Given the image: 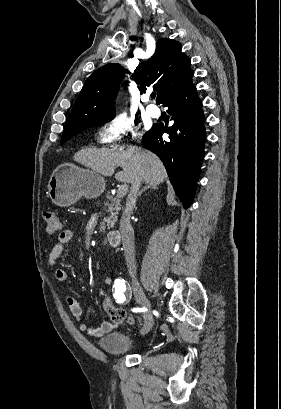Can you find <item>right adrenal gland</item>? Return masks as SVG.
<instances>
[{"instance_id": "1", "label": "right adrenal gland", "mask_w": 281, "mask_h": 409, "mask_svg": "<svg viewBox=\"0 0 281 409\" xmlns=\"http://www.w3.org/2000/svg\"><path fill=\"white\" fill-rule=\"evenodd\" d=\"M147 188H150V190H156L158 188L157 184H146L142 190H139L138 196H141L143 194L144 190H147Z\"/></svg>"}]
</instances>
